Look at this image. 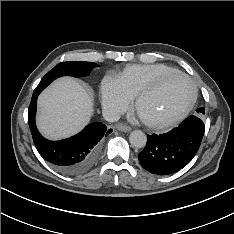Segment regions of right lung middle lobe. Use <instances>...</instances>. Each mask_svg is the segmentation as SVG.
Instances as JSON below:
<instances>
[{"label":"right lung middle lobe","instance_id":"obj_1","mask_svg":"<svg viewBox=\"0 0 234 234\" xmlns=\"http://www.w3.org/2000/svg\"><path fill=\"white\" fill-rule=\"evenodd\" d=\"M98 66L92 62L69 61L61 62L49 71L41 80L34 92H41L53 80L61 76L83 77L89 75L90 71Z\"/></svg>","mask_w":234,"mask_h":234}]
</instances>
